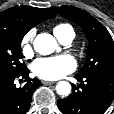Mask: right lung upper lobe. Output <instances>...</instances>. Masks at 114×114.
<instances>
[{
    "label": "right lung upper lobe",
    "instance_id": "obj_1",
    "mask_svg": "<svg viewBox=\"0 0 114 114\" xmlns=\"http://www.w3.org/2000/svg\"><path fill=\"white\" fill-rule=\"evenodd\" d=\"M55 16L50 8L15 6L0 13V29L26 34L37 24Z\"/></svg>",
    "mask_w": 114,
    "mask_h": 114
}]
</instances>
